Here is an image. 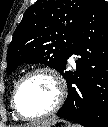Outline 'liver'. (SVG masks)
Here are the masks:
<instances>
[{"label":"liver","mask_w":108,"mask_h":127,"mask_svg":"<svg viewBox=\"0 0 108 127\" xmlns=\"http://www.w3.org/2000/svg\"><path fill=\"white\" fill-rule=\"evenodd\" d=\"M55 120L56 118H48L45 120H39V121L33 122L32 124L23 125L21 127H43V126H47L48 124H50L51 122Z\"/></svg>","instance_id":"obj_1"}]
</instances>
